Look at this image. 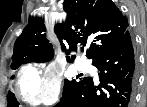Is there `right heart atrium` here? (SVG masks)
I'll use <instances>...</instances> for the list:
<instances>
[{
	"instance_id": "d8ad5b80",
	"label": "right heart atrium",
	"mask_w": 147,
	"mask_h": 107,
	"mask_svg": "<svg viewBox=\"0 0 147 107\" xmlns=\"http://www.w3.org/2000/svg\"><path fill=\"white\" fill-rule=\"evenodd\" d=\"M18 92L30 105L54 103L61 92V79L56 67L27 66L19 75Z\"/></svg>"
}]
</instances>
